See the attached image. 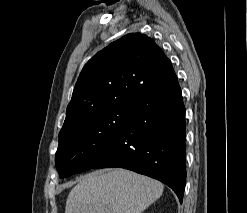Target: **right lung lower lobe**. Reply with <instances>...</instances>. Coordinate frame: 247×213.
Wrapping results in <instances>:
<instances>
[{
	"mask_svg": "<svg viewBox=\"0 0 247 213\" xmlns=\"http://www.w3.org/2000/svg\"><path fill=\"white\" fill-rule=\"evenodd\" d=\"M132 110L96 167H121L167 184L182 203L186 184L185 107L177 76L130 99Z\"/></svg>",
	"mask_w": 247,
	"mask_h": 213,
	"instance_id": "obj_1",
	"label": "right lung lower lobe"
}]
</instances>
